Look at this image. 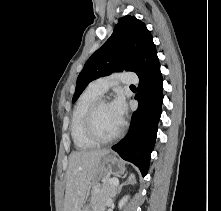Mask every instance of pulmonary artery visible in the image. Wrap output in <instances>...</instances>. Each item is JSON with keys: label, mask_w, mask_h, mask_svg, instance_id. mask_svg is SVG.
<instances>
[{"label": "pulmonary artery", "mask_w": 221, "mask_h": 211, "mask_svg": "<svg viewBox=\"0 0 221 211\" xmlns=\"http://www.w3.org/2000/svg\"><path fill=\"white\" fill-rule=\"evenodd\" d=\"M138 77L133 72H118L94 80L90 86L100 93L106 92L109 88L118 84H136Z\"/></svg>", "instance_id": "e3ab8cb5"}]
</instances>
